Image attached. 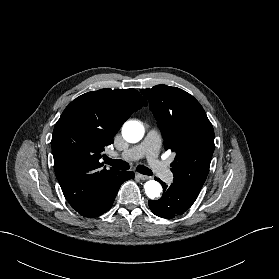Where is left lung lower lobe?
<instances>
[{"label": "left lung lower lobe", "mask_w": 279, "mask_h": 279, "mask_svg": "<svg viewBox=\"0 0 279 279\" xmlns=\"http://www.w3.org/2000/svg\"><path fill=\"white\" fill-rule=\"evenodd\" d=\"M157 180V179H156ZM163 186V196L159 200H149L151 211L162 218H173L183 214L195 202L199 193L186 190L172 183L169 187L158 179Z\"/></svg>", "instance_id": "1"}]
</instances>
